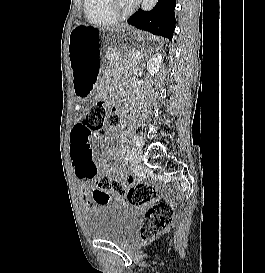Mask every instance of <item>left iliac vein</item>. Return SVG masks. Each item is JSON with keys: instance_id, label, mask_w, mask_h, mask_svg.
Masks as SVG:
<instances>
[{"instance_id": "left-iliac-vein-1", "label": "left iliac vein", "mask_w": 265, "mask_h": 273, "mask_svg": "<svg viewBox=\"0 0 265 273\" xmlns=\"http://www.w3.org/2000/svg\"><path fill=\"white\" fill-rule=\"evenodd\" d=\"M139 139L140 146L143 144V139L139 135H135ZM139 146V147H140ZM130 160L134 165H139L141 163V152L138 148H133L130 153Z\"/></svg>"}]
</instances>
